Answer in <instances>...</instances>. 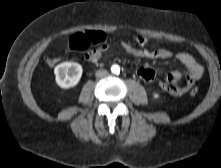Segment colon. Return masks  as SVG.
<instances>
[{
	"mask_svg": "<svg viewBox=\"0 0 221 168\" xmlns=\"http://www.w3.org/2000/svg\"><path fill=\"white\" fill-rule=\"evenodd\" d=\"M105 35L100 31H90L84 33H76L72 35L69 39V49L73 51H86L92 45L100 44L104 41ZM136 43L138 46L143 47L147 43V38L144 36H137ZM58 59L53 57H48L46 63L48 66L53 67L57 64ZM198 93L196 87L191 88L190 95L195 96Z\"/></svg>",
	"mask_w": 221,
	"mask_h": 168,
	"instance_id": "colon-1",
	"label": "colon"
}]
</instances>
